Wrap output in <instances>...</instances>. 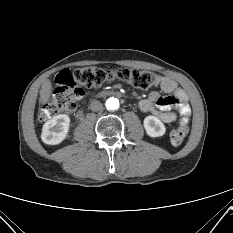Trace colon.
<instances>
[{
    "mask_svg": "<svg viewBox=\"0 0 233 233\" xmlns=\"http://www.w3.org/2000/svg\"><path fill=\"white\" fill-rule=\"evenodd\" d=\"M159 76L150 71L130 68L105 70L97 67H82L61 71L56 79L58 87L50 100L41 108L38 120L43 123L59 114L76 109L87 89H94L115 80L139 89H148L156 84ZM188 133V126L181 124L170 133L172 145H180Z\"/></svg>",
    "mask_w": 233,
    "mask_h": 233,
    "instance_id": "colon-1",
    "label": "colon"
}]
</instances>
